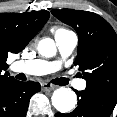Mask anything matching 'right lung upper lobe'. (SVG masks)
I'll return each mask as SVG.
<instances>
[{"label": "right lung upper lobe", "instance_id": "cb5924a9", "mask_svg": "<svg viewBox=\"0 0 117 117\" xmlns=\"http://www.w3.org/2000/svg\"><path fill=\"white\" fill-rule=\"evenodd\" d=\"M49 16L46 10L0 13V86L14 79L9 77L8 72L1 74L7 69L8 54L22 51L44 26Z\"/></svg>", "mask_w": 117, "mask_h": 117}]
</instances>
